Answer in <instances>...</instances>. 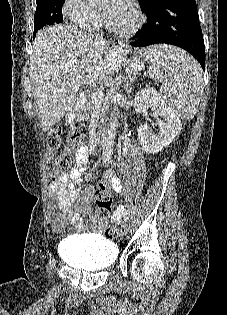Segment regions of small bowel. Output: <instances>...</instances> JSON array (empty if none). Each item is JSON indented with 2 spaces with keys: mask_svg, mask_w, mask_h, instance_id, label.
<instances>
[{
  "mask_svg": "<svg viewBox=\"0 0 227 315\" xmlns=\"http://www.w3.org/2000/svg\"><path fill=\"white\" fill-rule=\"evenodd\" d=\"M88 159L89 149L86 145L76 148L75 162L70 172L62 175L58 181L52 183L48 188L49 195L56 200V211H53L51 214V224L56 232H61L66 222H70L78 230H82L84 227L81 210L78 206L80 203L86 202L89 199V195L81 194L77 187L81 182V174L86 168ZM100 186H111L116 192L121 191L120 182L112 173L105 175L104 181L101 182ZM124 209L122 205L115 208L111 217L113 222H120ZM83 210L88 212L86 207ZM104 227L102 223L97 222L99 230H102Z\"/></svg>",
  "mask_w": 227,
  "mask_h": 315,
  "instance_id": "1",
  "label": "small bowel"
}]
</instances>
